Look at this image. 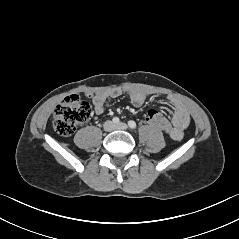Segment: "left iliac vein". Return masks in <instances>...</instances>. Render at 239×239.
<instances>
[{
    "instance_id": "left-iliac-vein-1",
    "label": "left iliac vein",
    "mask_w": 239,
    "mask_h": 239,
    "mask_svg": "<svg viewBox=\"0 0 239 239\" xmlns=\"http://www.w3.org/2000/svg\"><path fill=\"white\" fill-rule=\"evenodd\" d=\"M115 129H120V130H127L128 126L125 123H118L114 126Z\"/></svg>"
}]
</instances>
